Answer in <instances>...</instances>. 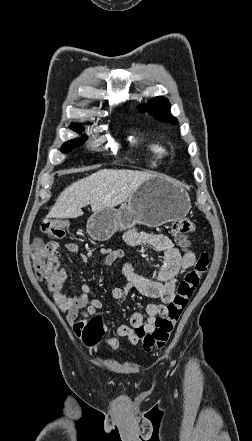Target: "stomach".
I'll return each instance as SVG.
<instances>
[{
  "label": "stomach",
  "mask_w": 252,
  "mask_h": 441,
  "mask_svg": "<svg viewBox=\"0 0 252 441\" xmlns=\"http://www.w3.org/2000/svg\"><path fill=\"white\" fill-rule=\"evenodd\" d=\"M190 208L186 190L166 176L154 175L141 184L119 209L93 213L87 221V232L94 240L105 241L117 230L135 224L158 227L181 220Z\"/></svg>",
  "instance_id": "stomach-1"
}]
</instances>
